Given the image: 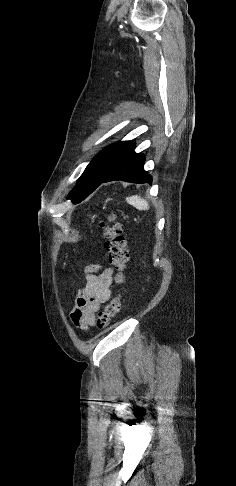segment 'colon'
Here are the masks:
<instances>
[{
  "label": "colon",
  "mask_w": 236,
  "mask_h": 486,
  "mask_svg": "<svg viewBox=\"0 0 236 486\" xmlns=\"http://www.w3.org/2000/svg\"><path fill=\"white\" fill-rule=\"evenodd\" d=\"M106 239L105 248L109 264L115 269L116 283L122 285L125 280V268L129 260V251L126 239L123 235V228L120 223L115 221V215L110 214L106 221L101 222ZM122 296L117 293L109 302L105 309L98 313L96 324L99 328H106L110 325L113 318L121 311Z\"/></svg>",
  "instance_id": "5ec220e1"
}]
</instances>
